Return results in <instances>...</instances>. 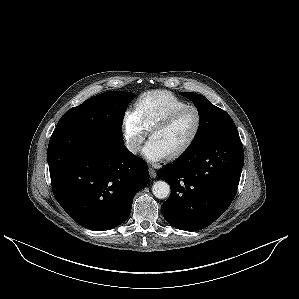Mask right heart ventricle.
Masks as SVG:
<instances>
[{
	"instance_id": "right-heart-ventricle-1",
	"label": "right heart ventricle",
	"mask_w": 299,
	"mask_h": 299,
	"mask_svg": "<svg viewBox=\"0 0 299 299\" xmlns=\"http://www.w3.org/2000/svg\"><path fill=\"white\" fill-rule=\"evenodd\" d=\"M187 105L186 101L169 91L156 90L140 96L135 104V112L145 127L150 129L170 113Z\"/></svg>"
}]
</instances>
